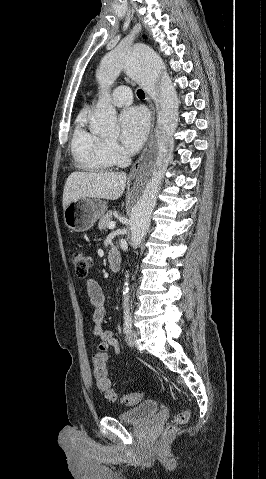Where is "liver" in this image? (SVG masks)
I'll list each match as a JSON object with an SVG mask.
<instances>
[{
	"instance_id": "obj_1",
	"label": "liver",
	"mask_w": 266,
	"mask_h": 479,
	"mask_svg": "<svg viewBox=\"0 0 266 479\" xmlns=\"http://www.w3.org/2000/svg\"><path fill=\"white\" fill-rule=\"evenodd\" d=\"M126 180L123 172H72L63 190V209L81 198L117 200L124 192Z\"/></svg>"
}]
</instances>
